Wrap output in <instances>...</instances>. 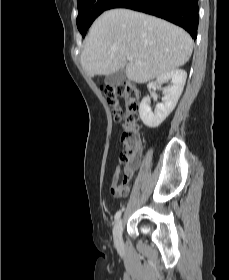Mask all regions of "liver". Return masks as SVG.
<instances>
[{
	"label": "liver",
	"instance_id": "liver-1",
	"mask_svg": "<svg viewBox=\"0 0 229 280\" xmlns=\"http://www.w3.org/2000/svg\"><path fill=\"white\" fill-rule=\"evenodd\" d=\"M192 50V38L180 27L132 10L113 9L91 26L81 65L89 77L125 68L129 80L145 83L183 66ZM128 56L134 60L128 61Z\"/></svg>",
	"mask_w": 229,
	"mask_h": 280
}]
</instances>
